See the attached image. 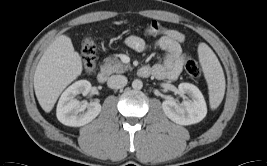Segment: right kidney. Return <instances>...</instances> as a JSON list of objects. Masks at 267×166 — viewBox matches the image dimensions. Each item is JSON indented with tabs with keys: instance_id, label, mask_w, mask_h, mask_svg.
Returning a JSON list of instances; mask_svg holds the SVG:
<instances>
[{
	"instance_id": "ca27d5eb",
	"label": "right kidney",
	"mask_w": 267,
	"mask_h": 166,
	"mask_svg": "<svg viewBox=\"0 0 267 166\" xmlns=\"http://www.w3.org/2000/svg\"><path fill=\"white\" fill-rule=\"evenodd\" d=\"M91 83L79 80L69 86L61 95L56 115L58 120L67 126L80 127L95 119L101 111L98 102H80L75 99L78 94L87 95L91 90ZM87 108V111L84 110Z\"/></svg>"
}]
</instances>
